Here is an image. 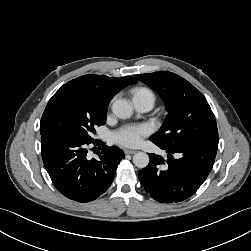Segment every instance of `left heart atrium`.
Here are the masks:
<instances>
[{
	"mask_svg": "<svg viewBox=\"0 0 251 251\" xmlns=\"http://www.w3.org/2000/svg\"><path fill=\"white\" fill-rule=\"evenodd\" d=\"M148 133L149 128L146 125L125 126L115 133V140L123 146L134 147L139 145Z\"/></svg>",
	"mask_w": 251,
	"mask_h": 251,
	"instance_id": "obj_1",
	"label": "left heart atrium"
}]
</instances>
